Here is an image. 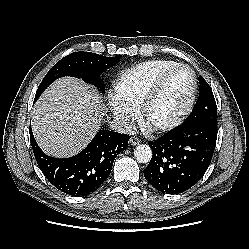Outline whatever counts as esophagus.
Listing matches in <instances>:
<instances>
[{
    "label": "esophagus",
    "mask_w": 249,
    "mask_h": 249,
    "mask_svg": "<svg viewBox=\"0 0 249 249\" xmlns=\"http://www.w3.org/2000/svg\"><path fill=\"white\" fill-rule=\"evenodd\" d=\"M140 142V139H138L137 137H131L129 140V143L133 146L138 145Z\"/></svg>",
    "instance_id": "obj_1"
}]
</instances>
